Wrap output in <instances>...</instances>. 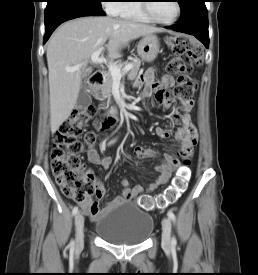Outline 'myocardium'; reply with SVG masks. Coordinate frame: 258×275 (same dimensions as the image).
Instances as JSON below:
<instances>
[{
  "instance_id": "f54148a6",
  "label": "myocardium",
  "mask_w": 258,
  "mask_h": 275,
  "mask_svg": "<svg viewBox=\"0 0 258 275\" xmlns=\"http://www.w3.org/2000/svg\"><path fill=\"white\" fill-rule=\"evenodd\" d=\"M143 2H148V1H143ZM174 2H175V4H176V9H177L176 15L174 16L173 19L168 20V21H162V20L156 18V17L153 15L152 11H151L150 3H142L141 6H142V9H143L144 13L146 14V16H147L151 21H153V22H155V23H158V24L169 25V24L174 23V22L179 18L180 14H181V6H180L179 1L175 0Z\"/></svg>"
}]
</instances>
